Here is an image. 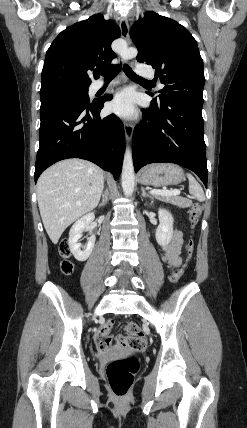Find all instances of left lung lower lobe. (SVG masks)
<instances>
[{"mask_svg": "<svg viewBox=\"0 0 247 428\" xmlns=\"http://www.w3.org/2000/svg\"><path fill=\"white\" fill-rule=\"evenodd\" d=\"M202 106V101L174 96L142 109L143 120L133 132L135 171L150 163H175L195 172L207 187Z\"/></svg>", "mask_w": 247, "mask_h": 428, "instance_id": "obj_1", "label": "left lung lower lobe"}]
</instances>
